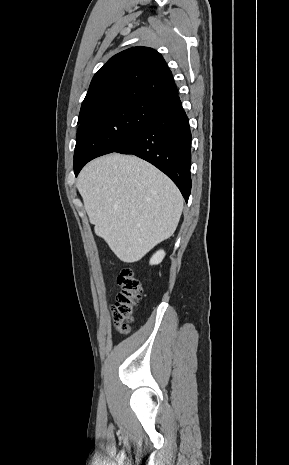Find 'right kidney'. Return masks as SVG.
Listing matches in <instances>:
<instances>
[{
	"mask_svg": "<svg viewBox=\"0 0 289 465\" xmlns=\"http://www.w3.org/2000/svg\"><path fill=\"white\" fill-rule=\"evenodd\" d=\"M164 257H165V252L163 250H159L150 259V264L151 265L159 264L162 262Z\"/></svg>",
	"mask_w": 289,
	"mask_h": 465,
	"instance_id": "right-kidney-1",
	"label": "right kidney"
}]
</instances>
